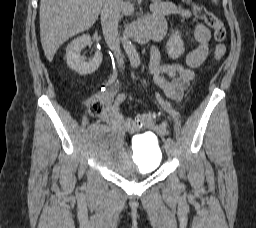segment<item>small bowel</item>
<instances>
[{"instance_id":"1","label":"small bowel","mask_w":256,"mask_h":228,"mask_svg":"<svg viewBox=\"0 0 256 228\" xmlns=\"http://www.w3.org/2000/svg\"><path fill=\"white\" fill-rule=\"evenodd\" d=\"M152 16L147 19L162 29H166L165 18L170 15H180L183 18H190L191 12L181 9L171 2L156 0L152 6ZM193 39L197 46L186 56L185 65L177 62L161 63L160 51L156 46L150 48L149 73L155 85L161 89L169 98L179 101L185 90L194 79V68L199 67L206 60L209 53V41L211 32L207 26L194 19ZM163 36V35H162ZM168 77V79L166 78ZM117 94L115 100L114 95ZM125 99L124 93H118L116 85L108 86L103 92V110L100 119L114 126L117 129L133 126V120L124 114L121 104ZM154 131L164 134L167 131L166 124L154 127Z\"/></svg>"}]
</instances>
